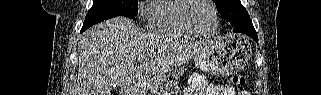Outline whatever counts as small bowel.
I'll return each instance as SVG.
<instances>
[{
    "label": "small bowel",
    "mask_w": 321,
    "mask_h": 95,
    "mask_svg": "<svg viewBox=\"0 0 321 95\" xmlns=\"http://www.w3.org/2000/svg\"><path fill=\"white\" fill-rule=\"evenodd\" d=\"M234 95L232 89L224 85L206 84L203 93L188 92L187 95Z\"/></svg>",
    "instance_id": "small-bowel-1"
}]
</instances>
